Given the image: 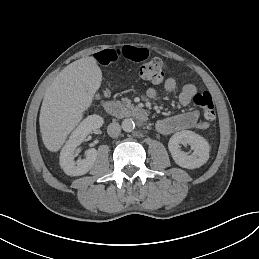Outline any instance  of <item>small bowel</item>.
<instances>
[{
  "mask_svg": "<svg viewBox=\"0 0 259 259\" xmlns=\"http://www.w3.org/2000/svg\"><path fill=\"white\" fill-rule=\"evenodd\" d=\"M149 55V51L145 47H137L133 45H125L120 48L105 49L94 54L95 60L101 65H109L121 58H125L131 61L145 60ZM179 85L176 79L168 78L163 85V93L167 96L173 94ZM197 93V88L193 84L184 85L179 93V102L182 106H189ZM147 95L150 98H154L157 95V91L154 88L147 90ZM209 127V121L201 120L198 110H188L184 113L177 114L161 118L156 123L157 130L163 135H171L176 132L187 129H207Z\"/></svg>",
  "mask_w": 259,
  "mask_h": 259,
  "instance_id": "obj_1",
  "label": "small bowel"
}]
</instances>
